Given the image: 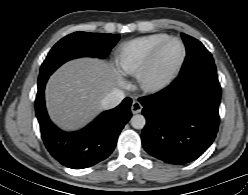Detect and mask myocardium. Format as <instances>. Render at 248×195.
Returning <instances> with one entry per match:
<instances>
[{"label":"myocardium","mask_w":248,"mask_h":195,"mask_svg":"<svg viewBox=\"0 0 248 195\" xmlns=\"http://www.w3.org/2000/svg\"><path fill=\"white\" fill-rule=\"evenodd\" d=\"M173 41H177L181 45V57L170 71L163 75H158L160 57L168 44ZM186 54V46L180 38L168 37L164 40L155 49L147 65L136 76L137 84L140 89L146 93H156L169 86L180 73L186 59Z\"/></svg>","instance_id":"1"}]
</instances>
